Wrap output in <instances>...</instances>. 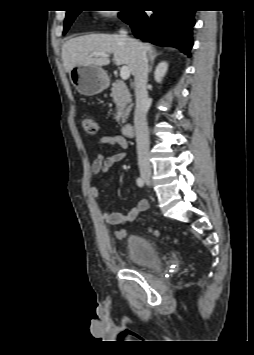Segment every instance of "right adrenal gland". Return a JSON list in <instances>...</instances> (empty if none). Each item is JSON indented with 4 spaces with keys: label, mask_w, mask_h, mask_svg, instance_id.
<instances>
[{
    "label": "right adrenal gland",
    "mask_w": 254,
    "mask_h": 355,
    "mask_svg": "<svg viewBox=\"0 0 254 355\" xmlns=\"http://www.w3.org/2000/svg\"><path fill=\"white\" fill-rule=\"evenodd\" d=\"M161 53H157L155 50L149 53V60H150V66L148 69V73L152 72L153 64H154V59L160 55Z\"/></svg>",
    "instance_id": "right-adrenal-gland-1"
}]
</instances>
